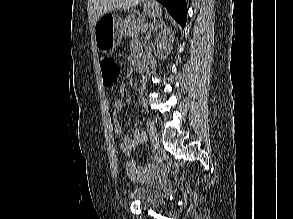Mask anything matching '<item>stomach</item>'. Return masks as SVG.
<instances>
[{"instance_id": "0dacf381", "label": "stomach", "mask_w": 293, "mask_h": 219, "mask_svg": "<svg viewBox=\"0 0 293 219\" xmlns=\"http://www.w3.org/2000/svg\"><path fill=\"white\" fill-rule=\"evenodd\" d=\"M144 13L151 17H160L162 12L158 3L154 0H144ZM122 21L114 14L103 15L95 23L94 36L98 49L109 52L116 48L122 38Z\"/></svg>"}]
</instances>
